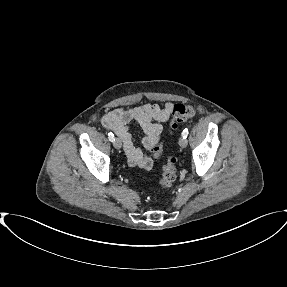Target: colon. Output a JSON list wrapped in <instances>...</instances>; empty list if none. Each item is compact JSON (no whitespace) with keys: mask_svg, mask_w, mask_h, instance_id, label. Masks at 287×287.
I'll use <instances>...</instances> for the list:
<instances>
[{"mask_svg":"<svg viewBox=\"0 0 287 287\" xmlns=\"http://www.w3.org/2000/svg\"><path fill=\"white\" fill-rule=\"evenodd\" d=\"M172 118L169 124V133L172 134L174 130L178 128V125L188 119H191L195 115V109L191 105L176 104L172 108ZM152 151L156 157L162 155V149L159 145H155ZM138 176L143 177L145 175L144 170L138 171ZM177 177L176 158L170 156L167 159L166 164L163 166L162 174L158 178V183L163 189H168L172 186Z\"/></svg>","mask_w":287,"mask_h":287,"instance_id":"obj_1","label":"colon"}]
</instances>
